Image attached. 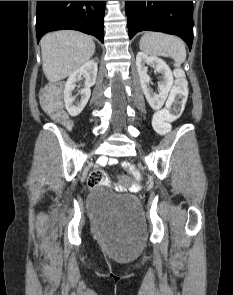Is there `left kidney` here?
<instances>
[{"mask_svg":"<svg viewBox=\"0 0 233 295\" xmlns=\"http://www.w3.org/2000/svg\"><path fill=\"white\" fill-rule=\"evenodd\" d=\"M146 64L152 66L157 72L163 75V79L158 86V94L153 93L149 88L151 78L147 74ZM136 67L146 100L153 110L161 109L173 85V75L170 67L162 59L155 56H148L143 52H138L136 55Z\"/></svg>","mask_w":233,"mask_h":295,"instance_id":"obj_1","label":"left kidney"}]
</instances>
